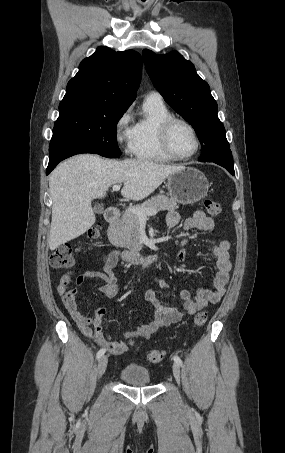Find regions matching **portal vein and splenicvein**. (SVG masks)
Wrapping results in <instances>:
<instances>
[{
    "instance_id": "portal-vein-and-splenic-vein-1",
    "label": "portal vein and splenic vein",
    "mask_w": 285,
    "mask_h": 453,
    "mask_svg": "<svg viewBox=\"0 0 285 453\" xmlns=\"http://www.w3.org/2000/svg\"><path fill=\"white\" fill-rule=\"evenodd\" d=\"M121 188V185L119 184H115L113 185V191H118L120 190ZM131 212H133L134 214H137L140 218H147V216H154L157 214V211L154 210V209H149V210H145V209H142L140 207H131V208H128Z\"/></svg>"
}]
</instances>
